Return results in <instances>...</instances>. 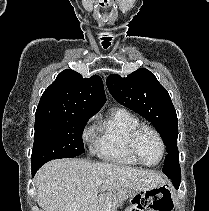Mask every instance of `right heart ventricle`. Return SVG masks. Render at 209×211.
Returning a JSON list of instances; mask_svg holds the SVG:
<instances>
[{
    "mask_svg": "<svg viewBox=\"0 0 209 211\" xmlns=\"http://www.w3.org/2000/svg\"><path fill=\"white\" fill-rule=\"evenodd\" d=\"M140 124L139 119L124 109L112 111L96 125L93 152L103 161L134 167L139 163L128 149L131 131Z\"/></svg>",
    "mask_w": 209,
    "mask_h": 211,
    "instance_id": "1",
    "label": "right heart ventricle"
}]
</instances>
